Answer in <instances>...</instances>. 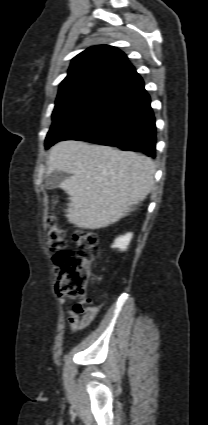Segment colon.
I'll return each instance as SVG.
<instances>
[{
	"label": "colon",
	"instance_id": "obj_1",
	"mask_svg": "<svg viewBox=\"0 0 208 425\" xmlns=\"http://www.w3.org/2000/svg\"><path fill=\"white\" fill-rule=\"evenodd\" d=\"M77 251L65 247L64 231L58 219L47 220L46 245L53 253L56 274L60 280V293L69 298L80 299L85 305L87 285L94 253L99 248V237L92 230H78L74 234Z\"/></svg>",
	"mask_w": 208,
	"mask_h": 425
}]
</instances>
